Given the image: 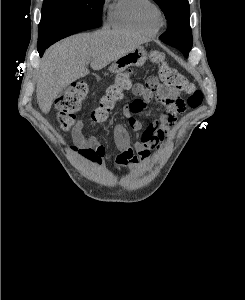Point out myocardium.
<instances>
[{
	"instance_id": "myocardium-1",
	"label": "myocardium",
	"mask_w": 245,
	"mask_h": 300,
	"mask_svg": "<svg viewBox=\"0 0 245 300\" xmlns=\"http://www.w3.org/2000/svg\"><path fill=\"white\" fill-rule=\"evenodd\" d=\"M144 19L148 25L156 29L161 28L165 24L162 10L155 5L145 11Z\"/></svg>"
}]
</instances>
